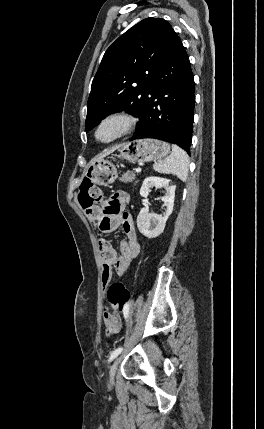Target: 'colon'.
<instances>
[{"mask_svg": "<svg viewBox=\"0 0 264 429\" xmlns=\"http://www.w3.org/2000/svg\"><path fill=\"white\" fill-rule=\"evenodd\" d=\"M103 191L90 180H85L80 186L78 200L85 212H91L103 201ZM107 300L114 313L124 312L129 300L130 291L121 282L112 283L107 290Z\"/></svg>", "mask_w": 264, "mask_h": 429, "instance_id": "5ec220e1", "label": "colon"}]
</instances>
